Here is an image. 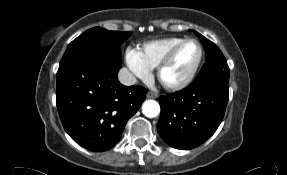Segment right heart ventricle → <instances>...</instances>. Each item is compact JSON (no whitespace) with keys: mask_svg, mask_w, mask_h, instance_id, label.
Segmentation results:
<instances>
[{"mask_svg":"<svg viewBox=\"0 0 287 175\" xmlns=\"http://www.w3.org/2000/svg\"><path fill=\"white\" fill-rule=\"evenodd\" d=\"M183 40L184 38L169 37L149 41L142 44L137 49V53L146 67L150 70L155 69L168 52Z\"/></svg>","mask_w":287,"mask_h":175,"instance_id":"obj_1","label":"right heart ventricle"}]
</instances>
